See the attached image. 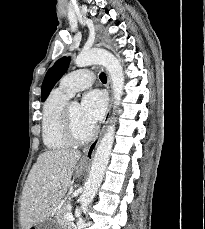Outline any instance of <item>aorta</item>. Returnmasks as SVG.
<instances>
[{
	"instance_id": "obj_1",
	"label": "aorta",
	"mask_w": 205,
	"mask_h": 229,
	"mask_svg": "<svg viewBox=\"0 0 205 229\" xmlns=\"http://www.w3.org/2000/svg\"><path fill=\"white\" fill-rule=\"evenodd\" d=\"M78 67H85L92 64L103 65L108 71L113 88L114 108L118 107L123 95L124 74L119 60L109 51L94 48L82 51L75 59ZM115 115V112H114ZM115 135V117L110 119V125L97 146L89 178L86 182L83 194L80 196L81 209L85 210L95 197L98 188L103 180L107 164L109 162Z\"/></svg>"
}]
</instances>
